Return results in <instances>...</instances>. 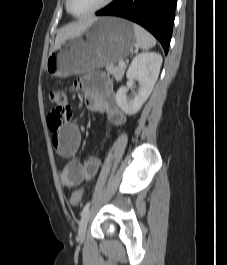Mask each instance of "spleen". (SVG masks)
<instances>
[{
	"label": "spleen",
	"mask_w": 227,
	"mask_h": 265,
	"mask_svg": "<svg viewBox=\"0 0 227 265\" xmlns=\"http://www.w3.org/2000/svg\"><path fill=\"white\" fill-rule=\"evenodd\" d=\"M137 46L142 50H148L155 46V38L138 24H133Z\"/></svg>",
	"instance_id": "spleen-1"
}]
</instances>
